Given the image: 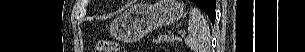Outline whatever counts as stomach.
Masks as SVG:
<instances>
[{"label": "stomach", "mask_w": 305, "mask_h": 52, "mask_svg": "<svg viewBox=\"0 0 305 52\" xmlns=\"http://www.w3.org/2000/svg\"><path fill=\"white\" fill-rule=\"evenodd\" d=\"M183 13V5L177 0H160L155 4L137 3L112 21L110 33L120 41L133 42L155 28L175 23Z\"/></svg>", "instance_id": "stomach-1"}]
</instances>
